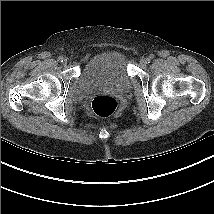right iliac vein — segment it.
Returning <instances> with one entry per match:
<instances>
[{"label":"right iliac vein","instance_id":"right-iliac-vein-1","mask_svg":"<svg viewBox=\"0 0 214 214\" xmlns=\"http://www.w3.org/2000/svg\"><path fill=\"white\" fill-rule=\"evenodd\" d=\"M68 63V60L65 58L64 59V64L66 65Z\"/></svg>","mask_w":214,"mask_h":214}]
</instances>
